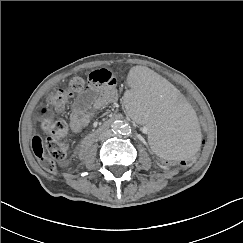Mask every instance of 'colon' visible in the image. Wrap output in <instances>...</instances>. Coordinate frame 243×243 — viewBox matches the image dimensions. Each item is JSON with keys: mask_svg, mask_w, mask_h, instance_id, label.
<instances>
[{"mask_svg": "<svg viewBox=\"0 0 243 243\" xmlns=\"http://www.w3.org/2000/svg\"><path fill=\"white\" fill-rule=\"evenodd\" d=\"M99 71V72H98ZM115 81V77L108 69H99L91 73L87 79L83 77H73L66 88H60L53 91L48 97L47 104L43 107V112L47 114L51 109L62 110L70 98L74 95L84 92L92 83L99 85H111ZM42 129L49 134V138L43 143L42 138L35 134L31 140V146L36 155L41 167L50 173L57 171L56 163L62 161L67 154L69 145L65 139L67 125L63 121L53 120L50 117H45L42 121ZM149 154V151H146ZM199 154L196 151L190 153L187 159H172L162 157L160 160L149 155L151 160L156 163L175 168H190L196 163Z\"/></svg>", "mask_w": 243, "mask_h": 243, "instance_id": "colon-1", "label": "colon"}]
</instances>
